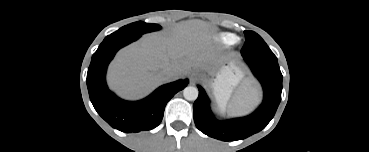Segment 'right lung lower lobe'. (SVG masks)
<instances>
[{
	"label": "right lung lower lobe",
	"mask_w": 369,
	"mask_h": 152,
	"mask_svg": "<svg viewBox=\"0 0 369 152\" xmlns=\"http://www.w3.org/2000/svg\"><path fill=\"white\" fill-rule=\"evenodd\" d=\"M139 37L128 33L107 36L93 54L87 73L88 92L95 110L113 128L127 133L157 127L168 101L188 83V80H178L165 84L136 102L124 101L113 94L105 82L107 66L120 48Z\"/></svg>",
	"instance_id": "1"
}]
</instances>
